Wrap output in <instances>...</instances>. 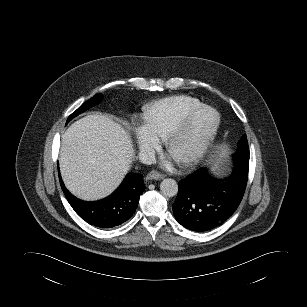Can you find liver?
<instances>
[{"instance_id": "liver-1", "label": "liver", "mask_w": 307, "mask_h": 307, "mask_svg": "<svg viewBox=\"0 0 307 307\" xmlns=\"http://www.w3.org/2000/svg\"><path fill=\"white\" fill-rule=\"evenodd\" d=\"M134 156L128 132L107 115H87L62 135L60 173L67 189L83 200L111 194Z\"/></svg>"}]
</instances>
